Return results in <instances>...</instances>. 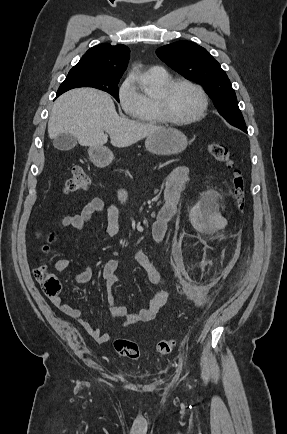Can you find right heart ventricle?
<instances>
[{"label": "right heart ventricle", "mask_w": 287, "mask_h": 434, "mask_svg": "<svg viewBox=\"0 0 287 434\" xmlns=\"http://www.w3.org/2000/svg\"><path fill=\"white\" fill-rule=\"evenodd\" d=\"M147 75L149 80L157 87H160L161 85L165 84L167 81L170 80V76L165 70L164 73L160 75H152L150 73H148ZM141 94L143 98L142 106L140 110L133 115V117L143 123H162L163 120L159 116L155 106L154 96L144 92H141Z\"/></svg>", "instance_id": "right-heart-ventricle-1"}]
</instances>
